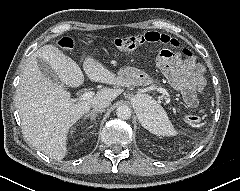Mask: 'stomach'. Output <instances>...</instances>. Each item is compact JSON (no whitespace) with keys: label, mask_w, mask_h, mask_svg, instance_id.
<instances>
[{"label":"stomach","mask_w":240,"mask_h":191,"mask_svg":"<svg viewBox=\"0 0 240 191\" xmlns=\"http://www.w3.org/2000/svg\"><path fill=\"white\" fill-rule=\"evenodd\" d=\"M117 76L122 82L123 86H147L154 82L152 77H150L147 72L129 66L121 68ZM136 108L140 118V116L145 113L146 108L139 104H136Z\"/></svg>","instance_id":"stomach-1"}]
</instances>
